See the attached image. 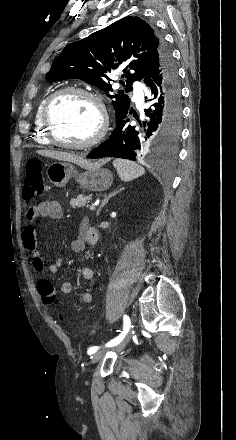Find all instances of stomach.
I'll return each mask as SVG.
<instances>
[{"mask_svg": "<svg viewBox=\"0 0 236 440\" xmlns=\"http://www.w3.org/2000/svg\"><path fill=\"white\" fill-rule=\"evenodd\" d=\"M79 172L76 167L65 161L51 163L47 169V176L50 182L57 187H64L70 178H75L77 183L89 191H104L112 182V173L105 168L89 167Z\"/></svg>", "mask_w": 236, "mask_h": 440, "instance_id": "0dacf381", "label": "stomach"}]
</instances>
